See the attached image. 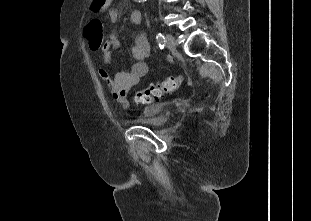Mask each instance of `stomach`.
I'll return each instance as SVG.
<instances>
[{
    "mask_svg": "<svg viewBox=\"0 0 311 221\" xmlns=\"http://www.w3.org/2000/svg\"><path fill=\"white\" fill-rule=\"evenodd\" d=\"M110 0H96L95 4H97V8L100 12V10H104V8H107Z\"/></svg>",
    "mask_w": 311,
    "mask_h": 221,
    "instance_id": "obj_1",
    "label": "stomach"
}]
</instances>
